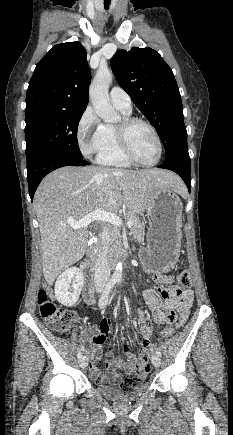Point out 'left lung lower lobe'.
Segmentation results:
<instances>
[{
	"mask_svg": "<svg viewBox=\"0 0 233 435\" xmlns=\"http://www.w3.org/2000/svg\"><path fill=\"white\" fill-rule=\"evenodd\" d=\"M159 168L169 169L179 174L190 192L191 190V173L190 157L187 147L181 148L166 157L164 163Z\"/></svg>",
	"mask_w": 233,
	"mask_h": 435,
	"instance_id": "left-lung-lower-lobe-1",
	"label": "left lung lower lobe"
}]
</instances>
